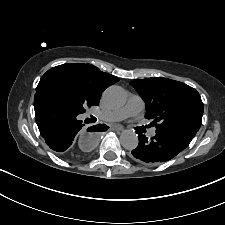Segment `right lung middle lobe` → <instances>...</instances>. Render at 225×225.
I'll use <instances>...</instances> for the list:
<instances>
[{"label":"right lung middle lobe","instance_id":"dd1d6c3e","mask_svg":"<svg viewBox=\"0 0 225 225\" xmlns=\"http://www.w3.org/2000/svg\"><path fill=\"white\" fill-rule=\"evenodd\" d=\"M36 93L50 97L78 114L93 104L88 93L79 85L62 75L42 76Z\"/></svg>","mask_w":225,"mask_h":225}]
</instances>
